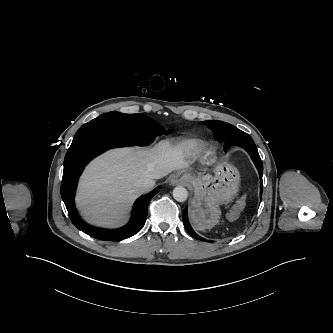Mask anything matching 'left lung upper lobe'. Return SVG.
Instances as JSON below:
<instances>
[{"label": "left lung upper lobe", "mask_w": 333, "mask_h": 333, "mask_svg": "<svg viewBox=\"0 0 333 333\" xmlns=\"http://www.w3.org/2000/svg\"><path fill=\"white\" fill-rule=\"evenodd\" d=\"M204 124L215 133V138L217 141L227 140H237L240 139H230L236 135L240 130L236 127L222 121H204Z\"/></svg>", "instance_id": "1"}]
</instances>
